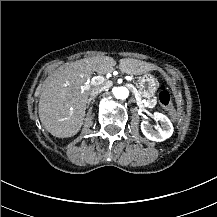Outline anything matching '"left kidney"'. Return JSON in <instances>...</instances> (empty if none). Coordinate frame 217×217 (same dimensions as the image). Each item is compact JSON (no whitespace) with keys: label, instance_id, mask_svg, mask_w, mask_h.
<instances>
[{"label":"left kidney","instance_id":"obj_1","mask_svg":"<svg viewBox=\"0 0 217 217\" xmlns=\"http://www.w3.org/2000/svg\"><path fill=\"white\" fill-rule=\"evenodd\" d=\"M155 121H160L161 126H155V130L148 121L141 122V131L145 137L152 141H163L173 134L174 128L169 118L159 112L153 114Z\"/></svg>","mask_w":217,"mask_h":217}]
</instances>
